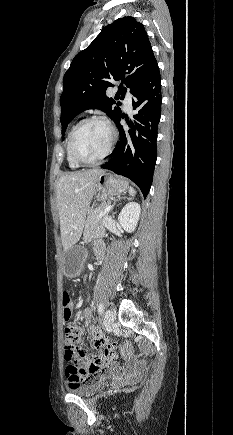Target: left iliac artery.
Masks as SVG:
<instances>
[{
  "label": "left iliac artery",
  "instance_id": "44dca946",
  "mask_svg": "<svg viewBox=\"0 0 233 435\" xmlns=\"http://www.w3.org/2000/svg\"><path fill=\"white\" fill-rule=\"evenodd\" d=\"M103 311H104V304H103V303H100V304L98 305V312H99V314L101 315V314L103 313Z\"/></svg>",
  "mask_w": 233,
  "mask_h": 435
}]
</instances>
